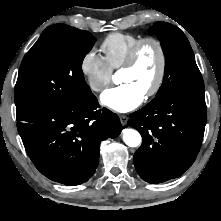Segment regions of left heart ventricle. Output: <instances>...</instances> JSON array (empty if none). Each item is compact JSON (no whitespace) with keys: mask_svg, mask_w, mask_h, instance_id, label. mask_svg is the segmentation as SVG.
Returning a JSON list of instances; mask_svg holds the SVG:
<instances>
[{"mask_svg":"<svg viewBox=\"0 0 221 221\" xmlns=\"http://www.w3.org/2000/svg\"><path fill=\"white\" fill-rule=\"evenodd\" d=\"M159 68V54L153 44H146L136 62V65L120 73L122 83L136 85L144 94L152 87Z\"/></svg>","mask_w":221,"mask_h":221,"instance_id":"left-heart-ventricle-1","label":"left heart ventricle"}]
</instances>
